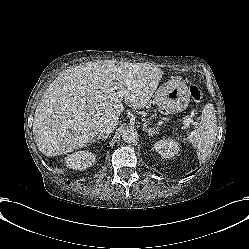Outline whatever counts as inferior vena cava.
I'll return each mask as SVG.
<instances>
[{
  "label": "inferior vena cava",
  "mask_w": 249,
  "mask_h": 249,
  "mask_svg": "<svg viewBox=\"0 0 249 249\" xmlns=\"http://www.w3.org/2000/svg\"><path fill=\"white\" fill-rule=\"evenodd\" d=\"M117 120H109L103 124H101L99 128V134L100 135H109L112 133V131L115 129V126L117 125Z\"/></svg>",
  "instance_id": "602c4592"
}]
</instances>
